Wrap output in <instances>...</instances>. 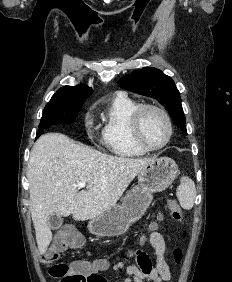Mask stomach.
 <instances>
[{
	"instance_id": "stomach-1",
	"label": "stomach",
	"mask_w": 232,
	"mask_h": 282,
	"mask_svg": "<svg viewBox=\"0 0 232 282\" xmlns=\"http://www.w3.org/2000/svg\"><path fill=\"white\" fill-rule=\"evenodd\" d=\"M178 174V166L168 157L154 158L137 176L138 184L127 192L121 204H115L88 223V230L96 237L124 234L149 207L153 193L167 189Z\"/></svg>"
}]
</instances>
